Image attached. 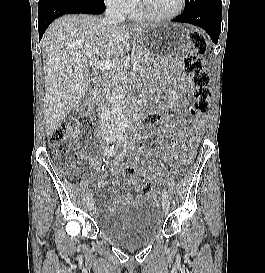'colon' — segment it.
<instances>
[{
    "label": "colon",
    "instance_id": "colon-1",
    "mask_svg": "<svg viewBox=\"0 0 265 273\" xmlns=\"http://www.w3.org/2000/svg\"><path fill=\"white\" fill-rule=\"evenodd\" d=\"M206 50V42L199 32H191L188 35V47L183 53L184 69L187 73L193 75V84L195 86V103L191 112L196 115H206L211 111V79L207 72L203 69L201 54ZM159 117L156 113H149L144 118V124L153 125L158 121ZM83 128L90 131L93 128V122L90 118L84 117L80 121H74L70 125L60 124L49 135L50 143L56 148L57 154L66 156L69 153L68 134L70 129ZM66 165L71 169L76 167V157L72 156ZM125 173L133 176L136 173L134 166H126ZM143 191L152 196H156L157 190L155 184L151 180H146L143 185Z\"/></svg>",
    "mask_w": 265,
    "mask_h": 273
}]
</instances>
